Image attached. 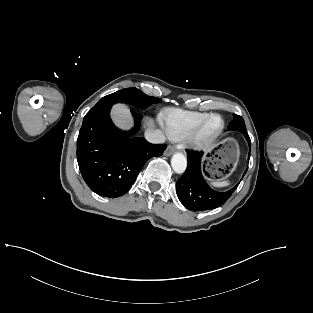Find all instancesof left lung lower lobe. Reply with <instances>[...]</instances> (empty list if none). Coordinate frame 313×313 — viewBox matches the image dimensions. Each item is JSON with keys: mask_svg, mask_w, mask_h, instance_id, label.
I'll list each match as a JSON object with an SVG mask.
<instances>
[{"mask_svg": "<svg viewBox=\"0 0 313 313\" xmlns=\"http://www.w3.org/2000/svg\"><path fill=\"white\" fill-rule=\"evenodd\" d=\"M243 134L250 147L251 141L247 132H243ZM201 158L202 153L188 151L187 169L176 183L177 196L180 202L191 211L210 210L223 205L238 186L237 184L231 190L222 193L211 189L202 175ZM249 158L250 153L248 160Z\"/></svg>", "mask_w": 313, "mask_h": 313, "instance_id": "1", "label": "left lung lower lobe"}]
</instances>
